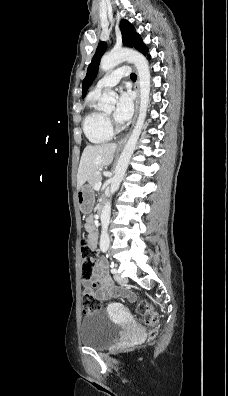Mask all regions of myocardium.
Here are the masks:
<instances>
[{"label":"myocardium","mask_w":228,"mask_h":396,"mask_svg":"<svg viewBox=\"0 0 228 396\" xmlns=\"http://www.w3.org/2000/svg\"><path fill=\"white\" fill-rule=\"evenodd\" d=\"M105 116H106V119H107V121H108L109 127H110V129L112 130V132H113V131H117L118 129L115 128V127L113 126V124H112L111 117L108 116V115H105Z\"/></svg>","instance_id":"obj_1"}]
</instances>
